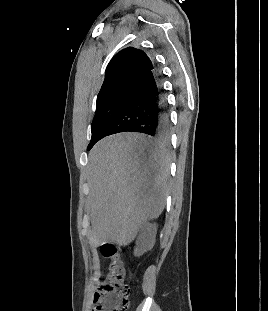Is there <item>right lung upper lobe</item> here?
<instances>
[{
  "instance_id": "cb5924a9",
  "label": "right lung upper lobe",
  "mask_w": 268,
  "mask_h": 311,
  "mask_svg": "<svg viewBox=\"0 0 268 311\" xmlns=\"http://www.w3.org/2000/svg\"><path fill=\"white\" fill-rule=\"evenodd\" d=\"M152 67V61L140 49L128 47L119 51L106 68L105 79L97 99L124 85L137 84Z\"/></svg>"
}]
</instances>
